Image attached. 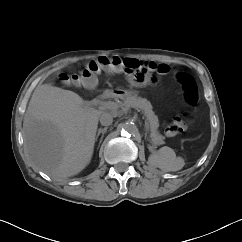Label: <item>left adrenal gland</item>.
<instances>
[{
	"mask_svg": "<svg viewBox=\"0 0 242 242\" xmlns=\"http://www.w3.org/2000/svg\"><path fill=\"white\" fill-rule=\"evenodd\" d=\"M145 136L147 137V131H146V133H145Z\"/></svg>",
	"mask_w": 242,
	"mask_h": 242,
	"instance_id": "1",
	"label": "left adrenal gland"
}]
</instances>
